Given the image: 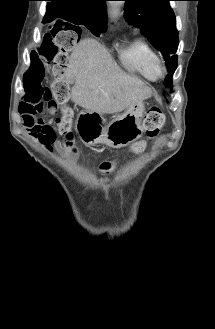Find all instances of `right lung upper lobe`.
I'll return each instance as SVG.
<instances>
[{
    "label": "right lung upper lobe",
    "mask_w": 215,
    "mask_h": 329,
    "mask_svg": "<svg viewBox=\"0 0 215 329\" xmlns=\"http://www.w3.org/2000/svg\"><path fill=\"white\" fill-rule=\"evenodd\" d=\"M50 1L47 5V12L54 15L44 18V22H51L56 18H66L70 15H76L85 20L95 24H102L106 27L107 14L106 4L107 0H47Z\"/></svg>",
    "instance_id": "cb5924a9"
}]
</instances>
